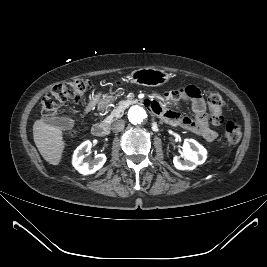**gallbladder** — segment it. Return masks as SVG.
Segmentation results:
<instances>
[{"label":"gallbladder","instance_id":"obj_1","mask_svg":"<svg viewBox=\"0 0 267 267\" xmlns=\"http://www.w3.org/2000/svg\"><path fill=\"white\" fill-rule=\"evenodd\" d=\"M50 123L62 129H71L74 126V121L70 117H55Z\"/></svg>","mask_w":267,"mask_h":267}]
</instances>
